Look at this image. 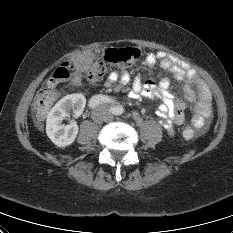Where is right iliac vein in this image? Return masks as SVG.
<instances>
[{
	"label": "right iliac vein",
	"mask_w": 233,
	"mask_h": 233,
	"mask_svg": "<svg viewBox=\"0 0 233 233\" xmlns=\"http://www.w3.org/2000/svg\"><path fill=\"white\" fill-rule=\"evenodd\" d=\"M103 117L102 113L100 111H97L96 113H94V119L95 120H101Z\"/></svg>",
	"instance_id": "obj_1"
}]
</instances>
